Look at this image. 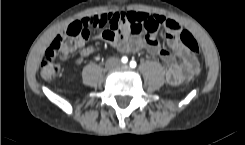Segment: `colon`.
<instances>
[{
	"instance_id": "1",
	"label": "colon",
	"mask_w": 245,
	"mask_h": 145,
	"mask_svg": "<svg viewBox=\"0 0 245 145\" xmlns=\"http://www.w3.org/2000/svg\"><path fill=\"white\" fill-rule=\"evenodd\" d=\"M101 19V23L98 19ZM166 24L172 31H179L181 42L192 52L198 51V44L195 39L186 30H180L177 23L161 16L150 17L147 26H141L137 22H130L127 26L128 31L133 34H139L145 31L154 32ZM103 16H93L89 18L78 19L66 26L62 35L56 37L50 44L41 63V75L44 79H53L60 74L62 61L67 59L73 53H80L82 49L80 44L84 41L91 28L103 25Z\"/></svg>"
}]
</instances>
